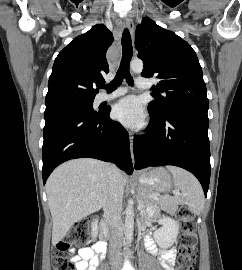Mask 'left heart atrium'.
<instances>
[{"mask_svg":"<svg viewBox=\"0 0 242 270\" xmlns=\"http://www.w3.org/2000/svg\"><path fill=\"white\" fill-rule=\"evenodd\" d=\"M113 116L122 124L135 127L144 120L143 108L139 100L134 96L126 97L113 107Z\"/></svg>","mask_w":242,"mask_h":270,"instance_id":"left-heart-atrium-1","label":"left heart atrium"}]
</instances>
